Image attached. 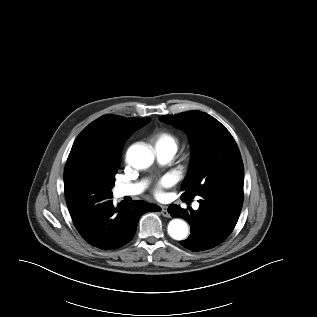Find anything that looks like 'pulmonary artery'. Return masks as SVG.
I'll list each match as a JSON object with an SVG mask.
<instances>
[{"label":"pulmonary artery","mask_w":317,"mask_h":317,"mask_svg":"<svg viewBox=\"0 0 317 317\" xmlns=\"http://www.w3.org/2000/svg\"><path fill=\"white\" fill-rule=\"evenodd\" d=\"M156 154L159 161L166 163L173 158L175 151L156 148ZM144 187V182H138L135 184H119L115 188V193L118 197L135 196L140 194L143 191ZM197 206L198 203H195V207Z\"/></svg>","instance_id":"e3ab8cb5"}]
</instances>
